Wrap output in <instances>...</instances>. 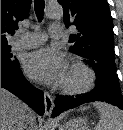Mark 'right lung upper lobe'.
<instances>
[{
	"mask_svg": "<svg viewBox=\"0 0 123 130\" xmlns=\"http://www.w3.org/2000/svg\"><path fill=\"white\" fill-rule=\"evenodd\" d=\"M31 0H1V44H8L7 36L14 34L18 22L26 18Z\"/></svg>",
	"mask_w": 123,
	"mask_h": 130,
	"instance_id": "1",
	"label": "right lung upper lobe"
}]
</instances>
